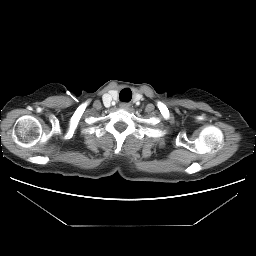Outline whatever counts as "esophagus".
<instances>
[{
	"label": "esophagus",
	"mask_w": 256,
	"mask_h": 256,
	"mask_svg": "<svg viewBox=\"0 0 256 256\" xmlns=\"http://www.w3.org/2000/svg\"><path fill=\"white\" fill-rule=\"evenodd\" d=\"M127 107V104H120V108L125 109Z\"/></svg>",
	"instance_id": "34e87169"
}]
</instances>
